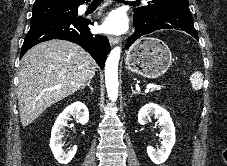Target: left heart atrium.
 Listing matches in <instances>:
<instances>
[{
  "mask_svg": "<svg viewBox=\"0 0 227 166\" xmlns=\"http://www.w3.org/2000/svg\"><path fill=\"white\" fill-rule=\"evenodd\" d=\"M126 16L121 12H112L105 18L101 25V30L110 34H120L127 29Z\"/></svg>",
  "mask_w": 227,
  "mask_h": 166,
  "instance_id": "1",
  "label": "left heart atrium"
}]
</instances>
